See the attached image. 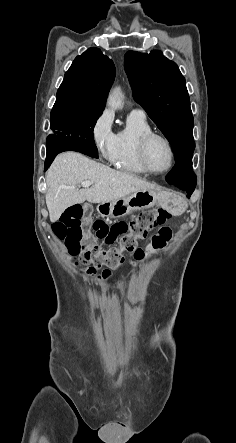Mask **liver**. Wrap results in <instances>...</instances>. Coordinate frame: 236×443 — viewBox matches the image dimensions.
Masks as SVG:
<instances>
[{
	"label": "liver",
	"instance_id": "6515ba94",
	"mask_svg": "<svg viewBox=\"0 0 236 443\" xmlns=\"http://www.w3.org/2000/svg\"><path fill=\"white\" fill-rule=\"evenodd\" d=\"M83 181L90 188L78 189ZM46 205L51 222H56L64 210L85 201L107 203L140 190L155 189V185L133 174L113 170L75 152L58 155L46 175Z\"/></svg>",
	"mask_w": 236,
	"mask_h": 443
}]
</instances>
